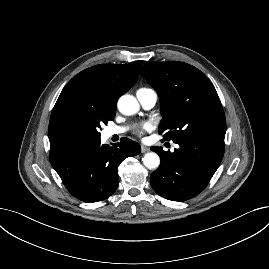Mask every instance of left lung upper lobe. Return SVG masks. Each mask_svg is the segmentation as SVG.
<instances>
[{
  "label": "left lung upper lobe",
  "instance_id": "obj_1",
  "mask_svg": "<svg viewBox=\"0 0 269 269\" xmlns=\"http://www.w3.org/2000/svg\"><path fill=\"white\" fill-rule=\"evenodd\" d=\"M141 76L159 95L163 118L158 130L164 140H224L226 119L220 99L199 69L177 61L147 62Z\"/></svg>",
  "mask_w": 269,
  "mask_h": 269
}]
</instances>
